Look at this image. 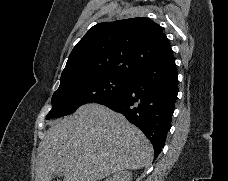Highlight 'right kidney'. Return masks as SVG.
Here are the masks:
<instances>
[{"label":"right kidney","instance_id":"right-kidney-1","mask_svg":"<svg viewBox=\"0 0 228 181\" xmlns=\"http://www.w3.org/2000/svg\"><path fill=\"white\" fill-rule=\"evenodd\" d=\"M106 181H132V173H129V171H118V173H115Z\"/></svg>","mask_w":228,"mask_h":181}]
</instances>
